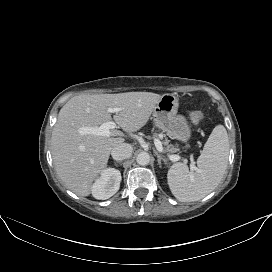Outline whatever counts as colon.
<instances>
[{
  "label": "colon",
  "mask_w": 272,
  "mask_h": 272,
  "mask_svg": "<svg viewBox=\"0 0 272 272\" xmlns=\"http://www.w3.org/2000/svg\"><path fill=\"white\" fill-rule=\"evenodd\" d=\"M204 119V114L201 111H193L190 113V120L194 124H199L203 121Z\"/></svg>",
  "instance_id": "1"
}]
</instances>
